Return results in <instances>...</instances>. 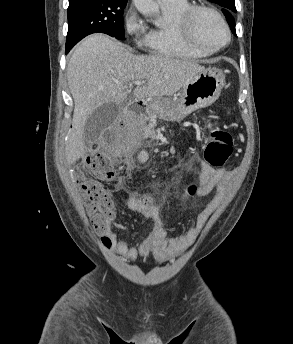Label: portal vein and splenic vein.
<instances>
[{
	"instance_id": "1",
	"label": "portal vein and splenic vein",
	"mask_w": 293,
	"mask_h": 344,
	"mask_svg": "<svg viewBox=\"0 0 293 344\" xmlns=\"http://www.w3.org/2000/svg\"><path fill=\"white\" fill-rule=\"evenodd\" d=\"M133 84H135V85H142V84H144V82L143 81H135V80H133L132 82L129 83V86H132Z\"/></svg>"
}]
</instances>
